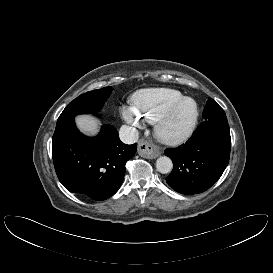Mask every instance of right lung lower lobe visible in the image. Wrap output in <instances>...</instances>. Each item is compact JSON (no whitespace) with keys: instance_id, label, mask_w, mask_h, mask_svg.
I'll return each instance as SVG.
<instances>
[{"instance_id":"1","label":"right lung lower lobe","mask_w":273,"mask_h":273,"mask_svg":"<svg viewBox=\"0 0 273 273\" xmlns=\"http://www.w3.org/2000/svg\"><path fill=\"white\" fill-rule=\"evenodd\" d=\"M137 149L126 145L116 128L103 125L95 137L82 135L73 119L56 125L52 138V157L56 174L70 192L105 200L120 188L125 164Z\"/></svg>"}]
</instances>
